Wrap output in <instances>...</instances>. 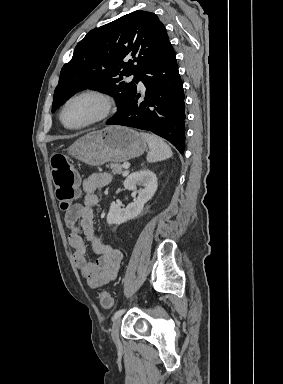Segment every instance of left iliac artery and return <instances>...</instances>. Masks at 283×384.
Returning <instances> with one entry per match:
<instances>
[{
    "mask_svg": "<svg viewBox=\"0 0 283 384\" xmlns=\"http://www.w3.org/2000/svg\"><path fill=\"white\" fill-rule=\"evenodd\" d=\"M124 312H125V309H120L116 311L115 314L113 315L112 320H115L116 318L120 317Z\"/></svg>",
    "mask_w": 283,
    "mask_h": 384,
    "instance_id": "left-iliac-artery-1",
    "label": "left iliac artery"
}]
</instances>
